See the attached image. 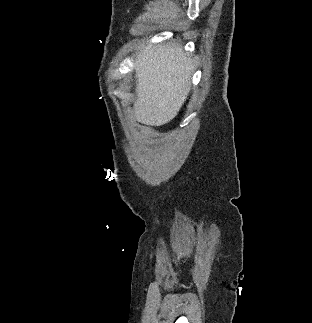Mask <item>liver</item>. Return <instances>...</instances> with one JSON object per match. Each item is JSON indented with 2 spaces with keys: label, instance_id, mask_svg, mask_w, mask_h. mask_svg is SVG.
<instances>
[{
  "label": "liver",
  "instance_id": "liver-1",
  "mask_svg": "<svg viewBox=\"0 0 312 323\" xmlns=\"http://www.w3.org/2000/svg\"><path fill=\"white\" fill-rule=\"evenodd\" d=\"M139 50L134 118L146 126H164L177 116L190 94L193 62L174 44H146Z\"/></svg>",
  "mask_w": 312,
  "mask_h": 323
}]
</instances>
